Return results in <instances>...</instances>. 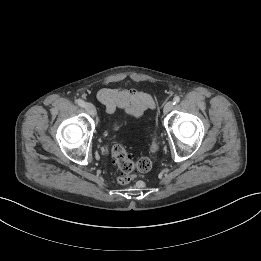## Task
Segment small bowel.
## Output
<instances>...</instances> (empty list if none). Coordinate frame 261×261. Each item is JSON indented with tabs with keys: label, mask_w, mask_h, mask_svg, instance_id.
<instances>
[{
	"label": "small bowel",
	"mask_w": 261,
	"mask_h": 261,
	"mask_svg": "<svg viewBox=\"0 0 261 261\" xmlns=\"http://www.w3.org/2000/svg\"><path fill=\"white\" fill-rule=\"evenodd\" d=\"M97 98L109 114L123 109L135 117H139L152 104L148 94L135 89L103 88Z\"/></svg>",
	"instance_id": "1"
}]
</instances>
